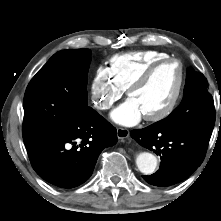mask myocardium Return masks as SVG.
Here are the masks:
<instances>
[{"instance_id":"f54148a6","label":"myocardium","mask_w":221,"mask_h":221,"mask_svg":"<svg viewBox=\"0 0 221 221\" xmlns=\"http://www.w3.org/2000/svg\"><path fill=\"white\" fill-rule=\"evenodd\" d=\"M169 63H174L179 68L180 76H179V82L177 85V89L175 91L174 96L172 97V99L170 100V102L168 103V105L164 109H162L160 112H158L156 114L144 116V119L146 121H149V122L161 121V120L167 118L177 107V105L182 97L185 83H186V70H185L183 63L179 59L172 58V57L156 61L155 63L148 66L144 70V72L127 89V95L130 97L133 92H135L136 90L143 87L159 68H161L164 65H167Z\"/></svg>"}]
</instances>
